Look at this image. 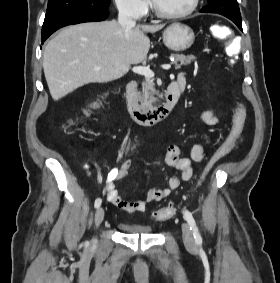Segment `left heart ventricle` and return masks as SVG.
Wrapping results in <instances>:
<instances>
[{
    "label": "left heart ventricle",
    "instance_id": "left-heart-ventricle-1",
    "mask_svg": "<svg viewBox=\"0 0 280 283\" xmlns=\"http://www.w3.org/2000/svg\"><path fill=\"white\" fill-rule=\"evenodd\" d=\"M155 3L161 11L175 14L186 11L192 0H155Z\"/></svg>",
    "mask_w": 280,
    "mask_h": 283
}]
</instances>
